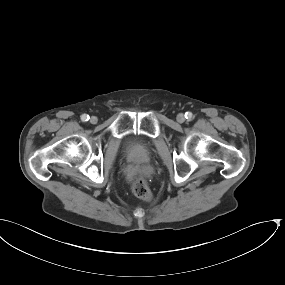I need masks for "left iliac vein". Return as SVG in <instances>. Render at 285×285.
Here are the masks:
<instances>
[{"instance_id":"left-iliac-vein-1","label":"left iliac vein","mask_w":285,"mask_h":285,"mask_svg":"<svg viewBox=\"0 0 285 285\" xmlns=\"http://www.w3.org/2000/svg\"><path fill=\"white\" fill-rule=\"evenodd\" d=\"M176 119L179 123H183L185 121V115L180 113L177 115Z\"/></svg>"}]
</instances>
